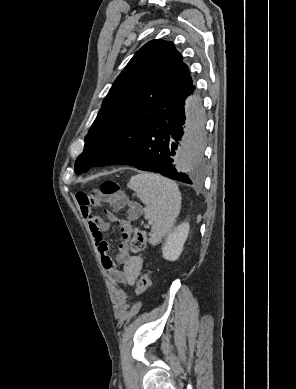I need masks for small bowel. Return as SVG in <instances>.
I'll return each instance as SVG.
<instances>
[{"mask_svg":"<svg viewBox=\"0 0 296 389\" xmlns=\"http://www.w3.org/2000/svg\"><path fill=\"white\" fill-rule=\"evenodd\" d=\"M76 198L80 206L81 215L88 224L95 240L105 271L113 282L132 286L137 280L143 265L142 259L131 255L128 248V241L132 232L131 220L137 214V207L130 205L127 218H118L115 214L116 211L122 209L127 204L125 199L119 204L111 206L112 210L105 211L108 220L119 225L122 238L118 245V253L115 258H112L108 254V242L103 235L109 229V222L95 216L92 210L93 205L98 206L102 204V198L100 195L90 196L86 193H78Z\"/></svg>","mask_w":296,"mask_h":389,"instance_id":"small-bowel-1","label":"small bowel"}]
</instances>
